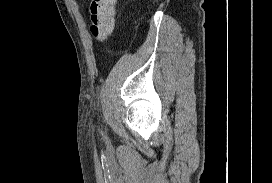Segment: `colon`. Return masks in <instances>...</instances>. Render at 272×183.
Wrapping results in <instances>:
<instances>
[{"label":"colon","instance_id":"1","mask_svg":"<svg viewBox=\"0 0 272 183\" xmlns=\"http://www.w3.org/2000/svg\"><path fill=\"white\" fill-rule=\"evenodd\" d=\"M118 0H92L90 5V30L92 35L104 41L113 32L118 16Z\"/></svg>","mask_w":272,"mask_h":183}]
</instances>
